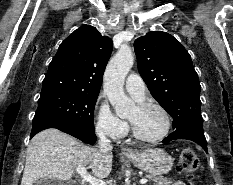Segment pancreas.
Returning <instances> with one entry per match:
<instances>
[{
	"mask_svg": "<svg viewBox=\"0 0 233 185\" xmlns=\"http://www.w3.org/2000/svg\"><path fill=\"white\" fill-rule=\"evenodd\" d=\"M145 178L151 180L153 185H173V181L170 178L155 175H146Z\"/></svg>",
	"mask_w": 233,
	"mask_h": 185,
	"instance_id": "1",
	"label": "pancreas"
}]
</instances>
